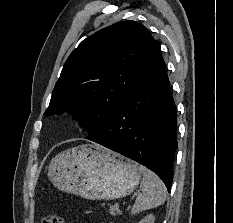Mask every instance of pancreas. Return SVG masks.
I'll use <instances>...</instances> for the list:
<instances>
[{
  "instance_id": "pancreas-1",
  "label": "pancreas",
  "mask_w": 233,
  "mask_h": 223,
  "mask_svg": "<svg viewBox=\"0 0 233 223\" xmlns=\"http://www.w3.org/2000/svg\"><path fill=\"white\" fill-rule=\"evenodd\" d=\"M110 213H114L115 209H116V205H110Z\"/></svg>"
}]
</instances>
